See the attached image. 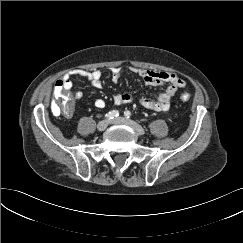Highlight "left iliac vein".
<instances>
[{
  "label": "left iliac vein",
  "instance_id": "left-iliac-vein-1",
  "mask_svg": "<svg viewBox=\"0 0 243 243\" xmlns=\"http://www.w3.org/2000/svg\"><path fill=\"white\" fill-rule=\"evenodd\" d=\"M112 123L113 124L127 125V126L131 127L138 135H144L145 134L144 129L139 124H137L136 122H134V121H132L130 119H126V118H123V117H118V118H115L112 121Z\"/></svg>",
  "mask_w": 243,
  "mask_h": 243
}]
</instances>
